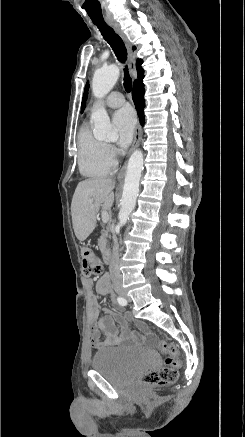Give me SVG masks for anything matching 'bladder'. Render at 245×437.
I'll use <instances>...</instances> for the list:
<instances>
[{
    "label": "bladder",
    "mask_w": 245,
    "mask_h": 437,
    "mask_svg": "<svg viewBox=\"0 0 245 437\" xmlns=\"http://www.w3.org/2000/svg\"><path fill=\"white\" fill-rule=\"evenodd\" d=\"M157 363V354L152 350L112 347L98 351L92 358L91 367L111 383L123 386Z\"/></svg>",
    "instance_id": "1"
}]
</instances>
